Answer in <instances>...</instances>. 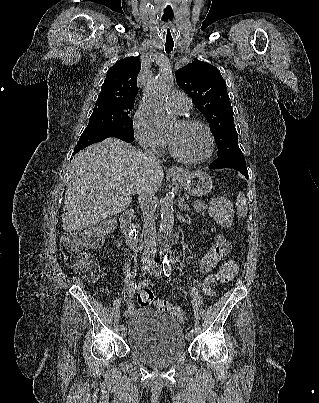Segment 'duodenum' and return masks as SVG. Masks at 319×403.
<instances>
[{"mask_svg":"<svg viewBox=\"0 0 319 403\" xmlns=\"http://www.w3.org/2000/svg\"><path fill=\"white\" fill-rule=\"evenodd\" d=\"M133 209L128 208L124 210L121 214V225L124 234L127 237L128 245L131 249L139 251L142 248V241L138 237V230L132 222Z\"/></svg>","mask_w":319,"mask_h":403,"instance_id":"duodenum-1","label":"duodenum"}]
</instances>
